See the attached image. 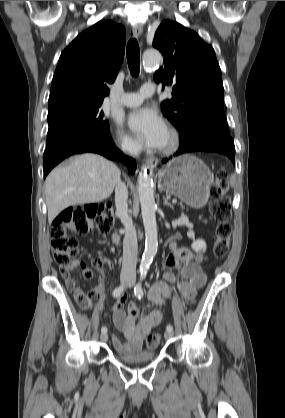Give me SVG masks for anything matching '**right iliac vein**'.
<instances>
[{
    "mask_svg": "<svg viewBox=\"0 0 285 418\" xmlns=\"http://www.w3.org/2000/svg\"><path fill=\"white\" fill-rule=\"evenodd\" d=\"M129 279H130V276L129 275L122 276L121 277V282H127ZM100 339L103 342L107 341L108 340V334L107 333H102L100 335Z\"/></svg>",
    "mask_w": 285,
    "mask_h": 418,
    "instance_id": "1",
    "label": "right iliac vein"
}]
</instances>
